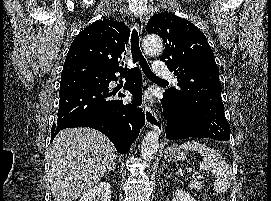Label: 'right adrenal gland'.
<instances>
[{
	"mask_svg": "<svg viewBox=\"0 0 271 201\" xmlns=\"http://www.w3.org/2000/svg\"><path fill=\"white\" fill-rule=\"evenodd\" d=\"M115 165H116V161H114V162L112 163V166L109 167L108 172H110V171L114 172V170H115Z\"/></svg>",
	"mask_w": 271,
	"mask_h": 201,
	"instance_id": "obj_1",
	"label": "right adrenal gland"
}]
</instances>
